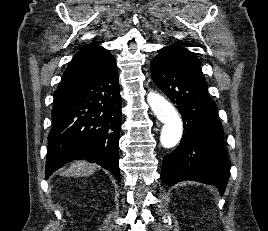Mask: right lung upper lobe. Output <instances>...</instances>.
<instances>
[{
  "label": "right lung upper lobe",
  "mask_w": 268,
  "mask_h": 231,
  "mask_svg": "<svg viewBox=\"0 0 268 231\" xmlns=\"http://www.w3.org/2000/svg\"><path fill=\"white\" fill-rule=\"evenodd\" d=\"M115 58L98 45H89L81 49L71 60L63 74L59 89L55 92L71 91L108 66Z\"/></svg>",
  "instance_id": "cb5924a9"
}]
</instances>
